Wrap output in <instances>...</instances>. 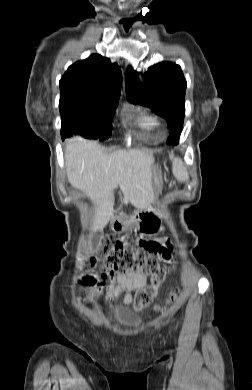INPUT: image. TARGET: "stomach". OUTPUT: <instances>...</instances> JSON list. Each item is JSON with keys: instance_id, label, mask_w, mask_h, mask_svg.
<instances>
[{"instance_id": "1", "label": "stomach", "mask_w": 252, "mask_h": 390, "mask_svg": "<svg viewBox=\"0 0 252 390\" xmlns=\"http://www.w3.org/2000/svg\"><path fill=\"white\" fill-rule=\"evenodd\" d=\"M155 190L161 186V180L153 169ZM160 214L156 207L149 206L144 210L135 212L130 217H114L111 221L112 229L116 232L125 231L130 226H134L143 233H152L160 223Z\"/></svg>"}]
</instances>
